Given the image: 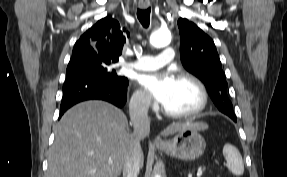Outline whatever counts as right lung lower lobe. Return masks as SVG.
Segmentation results:
<instances>
[{
    "label": "right lung lower lobe",
    "instance_id": "obj_1",
    "mask_svg": "<svg viewBox=\"0 0 287 177\" xmlns=\"http://www.w3.org/2000/svg\"><path fill=\"white\" fill-rule=\"evenodd\" d=\"M128 80H111L92 73L66 77L60 106L61 117L73 105L86 100H104L123 107L127 100Z\"/></svg>",
    "mask_w": 287,
    "mask_h": 177
}]
</instances>
